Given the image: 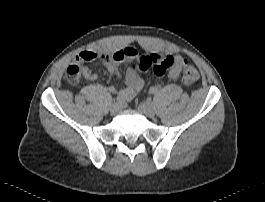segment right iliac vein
I'll return each mask as SVG.
<instances>
[{
	"instance_id": "63e3f726",
	"label": "right iliac vein",
	"mask_w": 265,
	"mask_h": 202,
	"mask_svg": "<svg viewBox=\"0 0 265 202\" xmlns=\"http://www.w3.org/2000/svg\"><path fill=\"white\" fill-rule=\"evenodd\" d=\"M119 110H120V105L118 103H114L110 107V113H111V115L117 114Z\"/></svg>"
}]
</instances>
